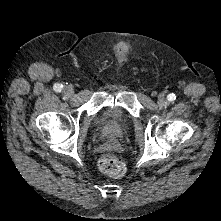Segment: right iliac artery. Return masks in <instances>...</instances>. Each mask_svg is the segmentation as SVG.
<instances>
[{"instance_id":"1","label":"right iliac artery","mask_w":221,"mask_h":221,"mask_svg":"<svg viewBox=\"0 0 221 221\" xmlns=\"http://www.w3.org/2000/svg\"><path fill=\"white\" fill-rule=\"evenodd\" d=\"M54 90H55L56 92H60V91H61V86H60L59 84H55V85H54Z\"/></svg>"}]
</instances>
